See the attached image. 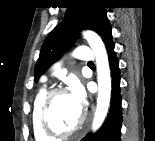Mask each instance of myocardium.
Segmentation results:
<instances>
[{
    "label": "myocardium",
    "instance_id": "f54148a6",
    "mask_svg": "<svg viewBox=\"0 0 155 141\" xmlns=\"http://www.w3.org/2000/svg\"><path fill=\"white\" fill-rule=\"evenodd\" d=\"M67 93L65 88H53L46 92L44 95L40 108H39V124L42 131L51 138H64L77 134L79 131L83 130L87 125L86 113L82 112V117L80 122L76 127L68 131H60L53 128L49 121V109L52 99L60 94Z\"/></svg>",
    "mask_w": 155,
    "mask_h": 141
}]
</instances>
